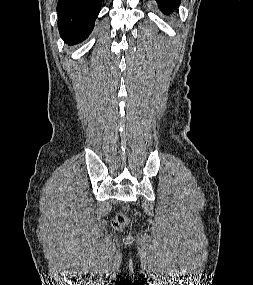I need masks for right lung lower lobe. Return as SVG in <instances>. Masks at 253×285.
<instances>
[{
    "instance_id": "98d812e1",
    "label": "right lung lower lobe",
    "mask_w": 253,
    "mask_h": 285,
    "mask_svg": "<svg viewBox=\"0 0 253 285\" xmlns=\"http://www.w3.org/2000/svg\"><path fill=\"white\" fill-rule=\"evenodd\" d=\"M101 4L102 0H58V28L66 43L77 44L88 37Z\"/></svg>"
}]
</instances>
